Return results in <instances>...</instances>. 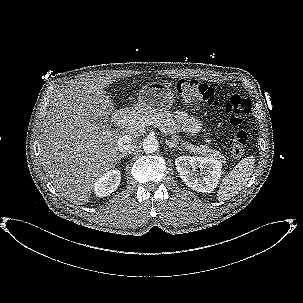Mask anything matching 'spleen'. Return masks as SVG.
Segmentation results:
<instances>
[{"label":"spleen","mask_w":303,"mask_h":303,"mask_svg":"<svg viewBox=\"0 0 303 303\" xmlns=\"http://www.w3.org/2000/svg\"><path fill=\"white\" fill-rule=\"evenodd\" d=\"M255 159L253 156L243 158L223 179L217 194L219 201L236 196L247 185L253 173Z\"/></svg>","instance_id":"spleen-1"}]
</instances>
